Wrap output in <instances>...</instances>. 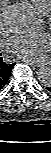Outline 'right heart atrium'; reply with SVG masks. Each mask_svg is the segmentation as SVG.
Listing matches in <instances>:
<instances>
[{"instance_id":"obj_1","label":"right heart atrium","mask_w":51,"mask_h":153,"mask_svg":"<svg viewBox=\"0 0 51 153\" xmlns=\"http://www.w3.org/2000/svg\"><path fill=\"white\" fill-rule=\"evenodd\" d=\"M5 12V9L3 10ZM0 26H4V13L1 14Z\"/></svg>"}]
</instances>
